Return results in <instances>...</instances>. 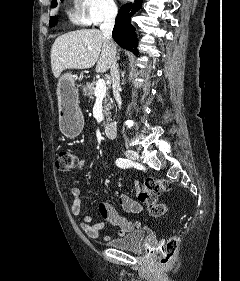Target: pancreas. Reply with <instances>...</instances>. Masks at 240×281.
Segmentation results:
<instances>
[{
	"instance_id": "cf45deb5",
	"label": "pancreas",
	"mask_w": 240,
	"mask_h": 281,
	"mask_svg": "<svg viewBox=\"0 0 240 281\" xmlns=\"http://www.w3.org/2000/svg\"><path fill=\"white\" fill-rule=\"evenodd\" d=\"M95 86H96V82H92V83H87L84 87H83V96L86 98H89L91 102L94 101V97H95ZM103 113L106 117V121H104V125L106 126L108 124V122L110 121V117H109V111L112 108V103H111V99L107 96H105L104 100H103Z\"/></svg>"
}]
</instances>
